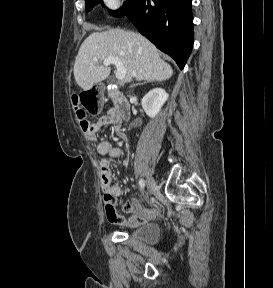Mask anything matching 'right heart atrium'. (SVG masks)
<instances>
[{
    "label": "right heart atrium",
    "instance_id": "d8ad5b80",
    "mask_svg": "<svg viewBox=\"0 0 273 288\" xmlns=\"http://www.w3.org/2000/svg\"><path fill=\"white\" fill-rule=\"evenodd\" d=\"M103 2L109 10L114 11L121 6L123 0H103Z\"/></svg>",
    "mask_w": 273,
    "mask_h": 288
}]
</instances>
